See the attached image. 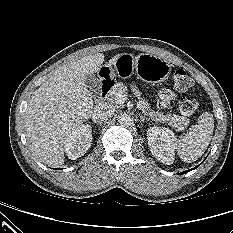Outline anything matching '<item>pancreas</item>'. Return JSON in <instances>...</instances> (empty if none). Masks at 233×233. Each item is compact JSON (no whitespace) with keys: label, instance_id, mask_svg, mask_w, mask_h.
<instances>
[{"label":"pancreas","instance_id":"1","mask_svg":"<svg viewBox=\"0 0 233 233\" xmlns=\"http://www.w3.org/2000/svg\"><path fill=\"white\" fill-rule=\"evenodd\" d=\"M127 91V87L119 82L116 83V85L113 87V89L110 91L108 95V101L111 106L113 107H120L122 103L118 102V95L122 94L125 95ZM148 115L154 120L162 123H168V125L175 128L176 131H182L184 130L188 124L189 119L183 116L178 115H171L167 114L164 115L162 112L156 111V112H148Z\"/></svg>","mask_w":233,"mask_h":233}]
</instances>
